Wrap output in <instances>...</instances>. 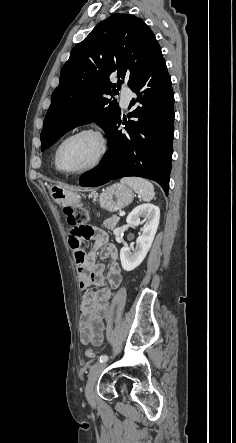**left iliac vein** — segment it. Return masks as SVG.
<instances>
[{"instance_id":"4c4485c4","label":"left iliac vein","mask_w":236,"mask_h":443,"mask_svg":"<svg viewBox=\"0 0 236 443\" xmlns=\"http://www.w3.org/2000/svg\"><path fill=\"white\" fill-rule=\"evenodd\" d=\"M105 367H106L105 362H97L93 364L90 368L85 389V396L91 407H95V394H94L95 384Z\"/></svg>"}]
</instances>
